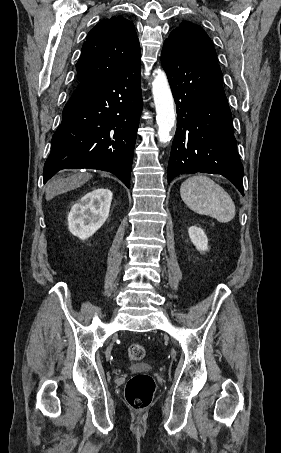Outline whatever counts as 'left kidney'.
I'll list each match as a JSON object with an SVG mask.
<instances>
[{"mask_svg": "<svg viewBox=\"0 0 281 453\" xmlns=\"http://www.w3.org/2000/svg\"><path fill=\"white\" fill-rule=\"evenodd\" d=\"M188 235L197 251H207L208 239L203 229H200V227H190V229H188Z\"/></svg>", "mask_w": 281, "mask_h": 453, "instance_id": "5707ae66", "label": "left kidney"}]
</instances>
